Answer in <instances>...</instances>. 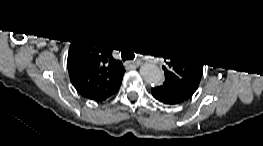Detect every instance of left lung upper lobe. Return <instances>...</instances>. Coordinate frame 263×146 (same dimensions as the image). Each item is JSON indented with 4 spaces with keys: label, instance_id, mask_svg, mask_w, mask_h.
Here are the masks:
<instances>
[{
    "label": "left lung upper lobe",
    "instance_id": "obj_1",
    "mask_svg": "<svg viewBox=\"0 0 263 146\" xmlns=\"http://www.w3.org/2000/svg\"><path fill=\"white\" fill-rule=\"evenodd\" d=\"M148 46L149 52L167 63V67L163 66L165 81L191 97L203 73L202 59L196 49L176 32L159 33Z\"/></svg>",
    "mask_w": 263,
    "mask_h": 146
}]
</instances>
